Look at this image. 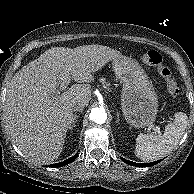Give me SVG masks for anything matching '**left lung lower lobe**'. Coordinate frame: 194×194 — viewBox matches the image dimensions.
Wrapping results in <instances>:
<instances>
[{
  "instance_id": "0a47b994",
  "label": "left lung lower lobe",
  "mask_w": 194,
  "mask_h": 194,
  "mask_svg": "<svg viewBox=\"0 0 194 194\" xmlns=\"http://www.w3.org/2000/svg\"><path fill=\"white\" fill-rule=\"evenodd\" d=\"M121 159H122V161H124L128 165L135 166V167H151V166L156 165L157 163H159L161 161V160H158V161L151 162V163H135V162H131L129 160H126L124 158H121Z\"/></svg>"
}]
</instances>
